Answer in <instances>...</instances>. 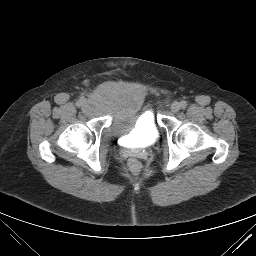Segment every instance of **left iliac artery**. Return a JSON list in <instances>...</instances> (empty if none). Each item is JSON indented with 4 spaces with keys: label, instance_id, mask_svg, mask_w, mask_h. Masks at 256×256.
<instances>
[{
    "label": "left iliac artery",
    "instance_id": "left-iliac-artery-1",
    "mask_svg": "<svg viewBox=\"0 0 256 256\" xmlns=\"http://www.w3.org/2000/svg\"><path fill=\"white\" fill-rule=\"evenodd\" d=\"M180 106H181V108L185 109L187 107V102L186 101H181Z\"/></svg>",
    "mask_w": 256,
    "mask_h": 256
}]
</instances>
